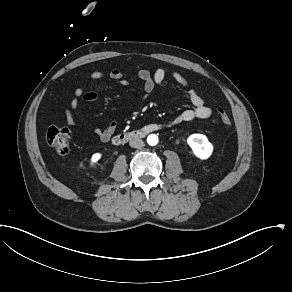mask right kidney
<instances>
[{
    "label": "right kidney",
    "mask_w": 292,
    "mask_h": 292,
    "mask_svg": "<svg viewBox=\"0 0 292 292\" xmlns=\"http://www.w3.org/2000/svg\"><path fill=\"white\" fill-rule=\"evenodd\" d=\"M101 158V154H94L91 158V165L96 163Z\"/></svg>",
    "instance_id": "ca27d5eb"
}]
</instances>
